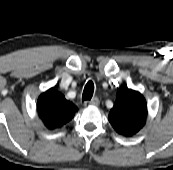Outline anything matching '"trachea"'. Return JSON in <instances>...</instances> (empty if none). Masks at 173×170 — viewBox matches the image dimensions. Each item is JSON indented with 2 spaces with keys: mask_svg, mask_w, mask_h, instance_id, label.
Returning a JSON list of instances; mask_svg holds the SVG:
<instances>
[{
  "mask_svg": "<svg viewBox=\"0 0 173 170\" xmlns=\"http://www.w3.org/2000/svg\"><path fill=\"white\" fill-rule=\"evenodd\" d=\"M94 93V83L92 81H88L87 84L84 87L83 94H82V100H90Z\"/></svg>",
  "mask_w": 173,
  "mask_h": 170,
  "instance_id": "obj_1",
  "label": "trachea"
}]
</instances>
